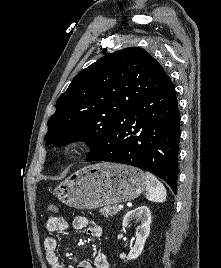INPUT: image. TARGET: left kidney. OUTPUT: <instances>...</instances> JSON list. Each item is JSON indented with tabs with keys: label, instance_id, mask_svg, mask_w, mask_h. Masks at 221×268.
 I'll list each match as a JSON object with an SVG mask.
<instances>
[{
	"label": "left kidney",
	"instance_id": "left-kidney-1",
	"mask_svg": "<svg viewBox=\"0 0 221 268\" xmlns=\"http://www.w3.org/2000/svg\"><path fill=\"white\" fill-rule=\"evenodd\" d=\"M138 219L141 221L139 230L136 232V241L133 248H131L128 255L121 253L120 258L125 260H133L140 256L144 249V244L150 233V224H151V213L148 207L140 206L134 210L129 211L122 222L123 227H127L129 223Z\"/></svg>",
	"mask_w": 221,
	"mask_h": 268
}]
</instances>
